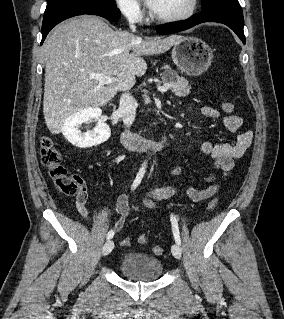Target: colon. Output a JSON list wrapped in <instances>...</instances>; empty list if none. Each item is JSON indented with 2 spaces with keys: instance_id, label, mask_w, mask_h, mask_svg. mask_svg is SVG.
Wrapping results in <instances>:
<instances>
[{
  "instance_id": "5ec220e1",
  "label": "colon",
  "mask_w": 284,
  "mask_h": 319,
  "mask_svg": "<svg viewBox=\"0 0 284 319\" xmlns=\"http://www.w3.org/2000/svg\"><path fill=\"white\" fill-rule=\"evenodd\" d=\"M235 106L231 102H224L222 104V110L225 113H232ZM40 158L42 164L47 168L49 175L56 190L65 196H73L77 194L82 185V179L73 174H69L65 166L62 164V157L58 149L56 148L53 140L48 136H43L40 140ZM218 204V199L213 198L208 203V210H213ZM147 237L144 234L139 235L138 243L146 244ZM122 246H129L130 239L125 238L121 241ZM153 252L156 255H161L163 249L160 246H155Z\"/></svg>"
}]
</instances>
